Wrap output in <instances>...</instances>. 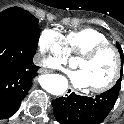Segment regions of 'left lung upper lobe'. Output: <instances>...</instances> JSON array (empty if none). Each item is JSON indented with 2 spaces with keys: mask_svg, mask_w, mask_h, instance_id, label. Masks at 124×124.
Returning <instances> with one entry per match:
<instances>
[{
  "mask_svg": "<svg viewBox=\"0 0 124 124\" xmlns=\"http://www.w3.org/2000/svg\"><path fill=\"white\" fill-rule=\"evenodd\" d=\"M116 46L118 48V51L120 53V57H121V63H123V60H124V57H123V51H122V48L120 46V44L118 42H116ZM115 87H121V78L117 81Z\"/></svg>",
  "mask_w": 124,
  "mask_h": 124,
  "instance_id": "obj_1",
  "label": "left lung upper lobe"
}]
</instances>
